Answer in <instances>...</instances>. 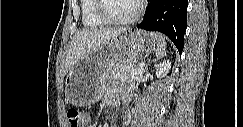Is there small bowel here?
<instances>
[{"instance_id": "1", "label": "small bowel", "mask_w": 243, "mask_h": 127, "mask_svg": "<svg viewBox=\"0 0 243 127\" xmlns=\"http://www.w3.org/2000/svg\"><path fill=\"white\" fill-rule=\"evenodd\" d=\"M115 102H116V89H113L108 94L107 103L115 104ZM84 126L95 127L96 125L91 123V118L89 116H85Z\"/></svg>"}]
</instances>
